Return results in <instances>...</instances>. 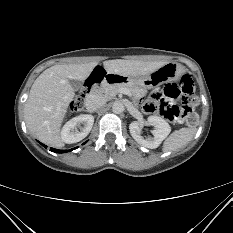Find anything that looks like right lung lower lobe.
I'll return each instance as SVG.
<instances>
[{"label":"right lung lower lobe","mask_w":233,"mask_h":233,"mask_svg":"<svg viewBox=\"0 0 233 233\" xmlns=\"http://www.w3.org/2000/svg\"><path fill=\"white\" fill-rule=\"evenodd\" d=\"M45 148L47 147L46 145L42 144ZM52 152H55V153H64V152H69V151H72L73 149L71 150H58V149H54V148H51L50 149Z\"/></svg>","instance_id":"right-lung-lower-lobe-1"}]
</instances>
